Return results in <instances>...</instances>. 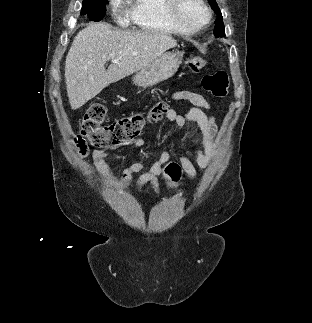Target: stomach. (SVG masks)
Returning a JSON list of instances; mask_svg holds the SVG:
<instances>
[{"label": "stomach", "instance_id": "1", "mask_svg": "<svg viewBox=\"0 0 312 323\" xmlns=\"http://www.w3.org/2000/svg\"><path fill=\"white\" fill-rule=\"evenodd\" d=\"M183 54L178 50L173 52H165L155 62H151L149 66L138 70L133 76V84L141 86V88H148V86H155L159 82H164L168 78H172L176 74L180 64H182Z\"/></svg>", "mask_w": 312, "mask_h": 323}]
</instances>
